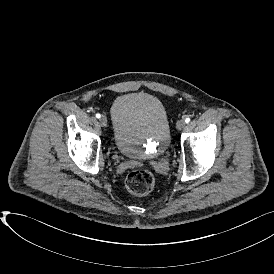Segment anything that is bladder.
I'll return each instance as SVG.
<instances>
[{"instance_id": "1", "label": "bladder", "mask_w": 274, "mask_h": 274, "mask_svg": "<svg viewBox=\"0 0 274 274\" xmlns=\"http://www.w3.org/2000/svg\"><path fill=\"white\" fill-rule=\"evenodd\" d=\"M111 118L114 145L125 157L155 158L168 149L169 119L157 97L142 92L122 94L112 105Z\"/></svg>"}]
</instances>
